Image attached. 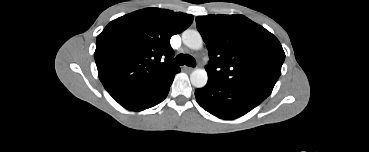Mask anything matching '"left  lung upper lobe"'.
Segmentation results:
<instances>
[{"label":"left lung upper lobe","instance_id":"left-lung-upper-lobe-1","mask_svg":"<svg viewBox=\"0 0 369 152\" xmlns=\"http://www.w3.org/2000/svg\"><path fill=\"white\" fill-rule=\"evenodd\" d=\"M196 26L208 49L209 77L270 95L285 59L272 33L243 15L198 16Z\"/></svg>","mask_w":369,"mask_h":152}]
</instances>
